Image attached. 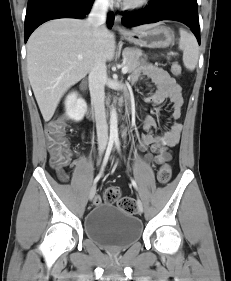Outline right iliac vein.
Segmentation results:
<instances>
[{"label": "right iliac vein", "instance_id": "1", "mask_svg": "<svg viewBox=\"0 0 231 281\" xmlns=\"http://www.w3.org/2000/svg\"><path fill=\"white\" fill-rule=\"evenodd\" d=\"M103 152H104V148L101 147V148L99 149V155L101 156V155L103 154ZM95 193H96V186L93 185V186L91 187L90 191H89V199H90V200L93 199Z\"/></svg>", "mask_w": 231, "mask_h": 281}]
</instances>
